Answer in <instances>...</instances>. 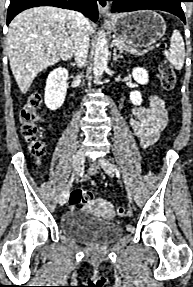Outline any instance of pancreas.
Returning a JSON list of instances; mask_svg holds the SVG:
<instances>
[{
	"mask_svg": "<svg viewBox=\"0 0 193 287\" xmlns=\"http://www.w3.org/2000/svg\"><path fill=\"white\" fill-rule=\"evenodd\" d=\"M117 41L119 42V45L117 46L118 50L120 53H123V52H128V53H131V54H134V55H138V56H141V55H144L148 52V50H140L136 47H133L132 45L128 44L125 40L123 39H117Z\"/></svg>",
	"mask_w": 193,
	"mask_h": 287,
	"instance_id": "1",
	"label": "pancreas"
}]
</instances>
